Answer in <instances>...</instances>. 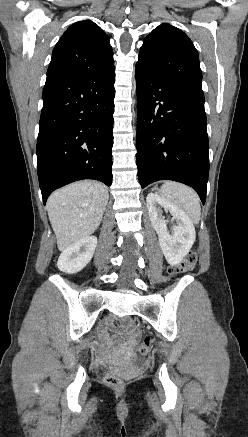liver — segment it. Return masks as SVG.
I'll return each instance as SVG.
<instances>
[{
	"label": "liver",
	"mask_w": 248,
	"mask_h": 437,
	"mask_svg": "<svg viewBox=\"0 0 248 437\" xmlns=\"http://www.w3.org/2000/svg\"><path fill=\"white\" fill-rule=\"evenodd\" d=\"M108 198L105 185L95 181L76 182L50 195L47 211L60 251L97 230Z\"/></svg>",
	"instance_id": "1"
}]
</instances>
